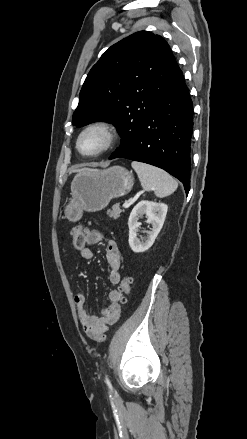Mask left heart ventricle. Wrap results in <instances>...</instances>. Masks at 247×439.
<instances>
[{
    "mask_svg": "<svg viewBox=\"0 0 247 439\" xmlns=\"http://www.w3.org/2000/svg\"><path fill=\"white\" fill-rule=\"evenodd\" d=\"M105 142V135L100 130H92L86 133L80 142L83 152L91 153L100 149Z\"/></svg>",
    "mask_w": 247,
    "mask_h": 439,
    "instance_id": "left-heart-ventricle-1",
    "label": "left heart ventricle"
}]
</instances>
